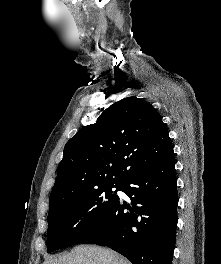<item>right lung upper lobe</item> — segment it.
I'll use <instances>...</instances> for the list:
<instances>
[{
	"mask_svg": "<svg viewBox=\"0 0 221 264\" xmlns=\"http://www.w3.org/2000/svg\"><path fill=\"white\" fill-rule=\"evenodd\" d=\"M172 154L168 130L156 109L142 99L124 98L65 145L49 211L72 194L122 183Z\"/></svg>",
	"mask_w": 221,
	"mask_h": 264,
	"instance_id": "1",
	"label": "right lung upper lobe"
}]
</instances>
